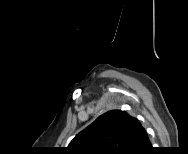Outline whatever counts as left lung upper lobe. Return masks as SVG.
I'll use <instances>...</instances> for the list:
<instances>
[{
  "mask_svg": "<svg viewBox=\"0 0 188 154\" xmlns=\"http://www.w3.org/2000/svg\"><path fill=\"white\" fill-rule=\"evenodd\" d=\"M135 122L125 111H109L77 134L68 149L77 154H127Z\"/></svg>",
  "mask_w": 188,
  "mask_h": 154,
  "instance_id": "5c2ea615",
  "label": "left lung upper lobe"
}]
</instances>
